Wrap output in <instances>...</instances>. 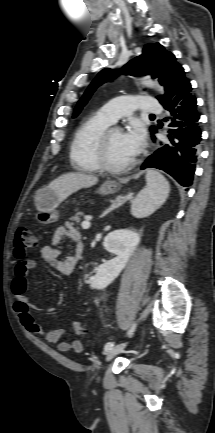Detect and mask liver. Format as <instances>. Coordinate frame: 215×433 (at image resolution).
<instances>
[{
    "label": "liver",
    "instance_id": "obj_1",
    "mask_svg": "<svg viewBox=\"0 0 215 433\" xmlns=\"http://www.w3.org/2000/svg\"><path fill=\"white\" fill-rule=\"evenodd\" d=\"M98 178L93 175L82 173H66L54 179L49 188L56 194L59 203L65 200L72 193L97 184Z\"/></svg>",
    "mask_w": 215,
    "mask_h": 433
}]
</instances>
